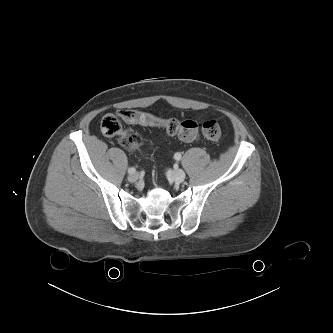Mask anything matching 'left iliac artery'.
<instances>
[{"instance_id": "obj_1", "label": "left iliac artery", "mask_w": 333, "mask_h": 333, "mask_svg": "<svg viewBox=\"0 0 333 333\" xmlns=\"http://www.w3.org/2000/svg\"><path fill=\"white\" fill-rule=\"evenodd\" d=\"M174 158H175L177 161L181 160V158H182L181 153H178V152H177V153L174 155Z\"/></svg>"}]
</instances>
